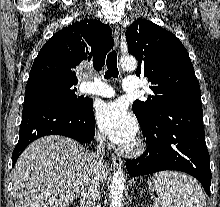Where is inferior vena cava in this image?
<instances>
[{
	"mask_svg": "<svg viewBox=\"0 0 220 207\" xmlns=\"http://www.w3.org/2000/svg\"><path fill=\"white\" fill-rule=\"evenodd\" d=\"M96 141V152L89 154L88 158L90 170L82 183L80 207H99L100 171L103 168L105 155V138L98 134Z\"/></svg>",
	"mask_w": 220,
	"mask_h": 207,
	"instance_id": "1",
	"label": "inferior vena cava"
}]
</instances>
